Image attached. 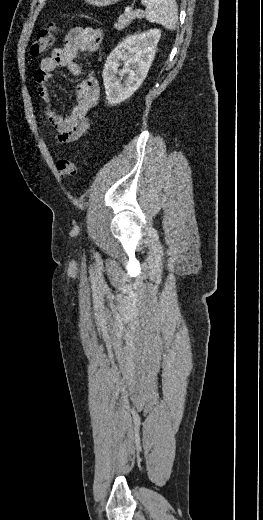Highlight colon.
<instances>
[{"instance_id": "1", "label": "colon", "mask_w": 263, "mask_h": 520, "mask_svg": "<svg viewBox=\"0 0 263 520\" xmlns=\"http://www.w3.org/2000/svg\"><path fill=\"white\" fill-rule=\"evenodd\" d=\"M58 30L59 26L56 22H52L46 28L41 29L31 45L30 54L37 57L48 51L54 42ZM57 169L60 176L64 179L72 178L77 173L76 163L67 159L59 160Z\"/></svg>"}]
</instances>
